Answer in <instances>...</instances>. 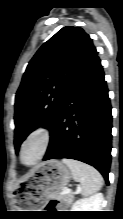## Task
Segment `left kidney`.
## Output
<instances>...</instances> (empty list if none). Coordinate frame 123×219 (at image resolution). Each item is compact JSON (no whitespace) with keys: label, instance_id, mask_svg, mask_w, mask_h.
<instances>
[{"label":"left kidney","instance_id":"1","mask_svg":"<svg viewBox=\"0 0 123 219\" xmlns=\"http://www.w3.org/2000/svg\"><path fill=\"white\" fill-rule=\"evenodd\" d=\"M104 197L101 193L89 198L77 200L72 205V211H102Z\"/></svg>","mask_w":123,"mask_h":219}]
</instances>
